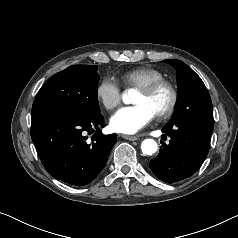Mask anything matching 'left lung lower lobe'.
I'll return each instance as SVG.
<instances>
[{"instance_id":"obj_1","label":"left lung lower lobe","mask_w":238,"mask_h":238,"mask_svg":"<svg viewBox=\"0 0 238 238\" xmlns=\"http://www.w3.org/2000/svg\"><path fill=\"white\" fill-rule=\"evenodd\" d=\"M212 131L213 127L186 122L166 124L162 132L169 135V144L161 142L159 154L149 163L150 169L166 183L192 176L208 154Z\"/></svg>"}]
</instances>
